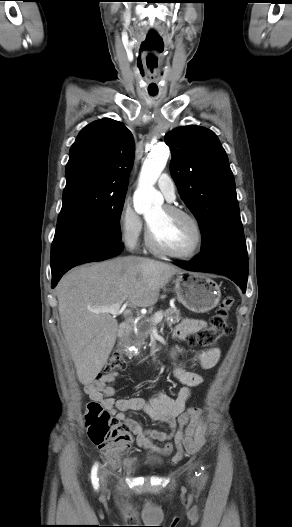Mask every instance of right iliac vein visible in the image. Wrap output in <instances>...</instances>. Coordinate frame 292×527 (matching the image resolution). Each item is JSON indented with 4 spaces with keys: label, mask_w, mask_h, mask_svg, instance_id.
<instances>
[{
    "label": "right iliac vein",
    "mask_w": 292,
    "mask_h": 527,
    "mask_svg": "<svg viewBox=\"0 0 292 527\" xmlns=\"http://www.w3.org/2000/svg\"><path fill=\"white\" fill-rule=\"evenodd\" d=\"M101 481H102L103 484L105 483V474L104 473L101 474Z\"/></svg>",
    "instance_id": "right-iliac-vein-1"
}]
</instances>
